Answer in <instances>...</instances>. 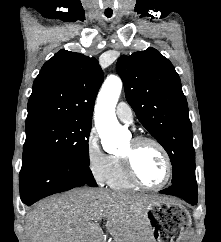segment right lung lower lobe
<instances>
[{
	"label": "right lung lower lobe",
	"mask_w": 221,
	"mask_h": 242,
	"mask_svg": "<svg viewBox=\"0 0 221 242\" xmlns=\"http://www.w3.org/2000/svg\"><path fill=\"white\" fill-rule=\"evenodd\" d=\"M19 178L21 200L27 206L75 187L97 186L89 165L43 151L23 153Z\"/></svg>",
	"instance_id": "98d812e1"
}]
</instances>
